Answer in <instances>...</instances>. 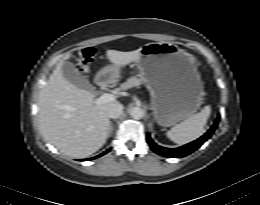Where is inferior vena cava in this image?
I'll return each instance as SVG.
<instances>
[{
  "label": "inferior vena cava",
  "mask_w": 260,
  "mask_h": 205,
  "mask_svg": "<svg viewBox=\"0 0 260 205\" xmlns=\"http://www.w3.org/2000/svg\"><path fill=\"white\" fill-rule=\"evenodd\" d=\"M122 112H123V105L120 103H116L109 107L107 111V116L109 118L116 119L121 116Z\"/></svg>",
  "instance_id": "602c4592"
}]
</instances>
